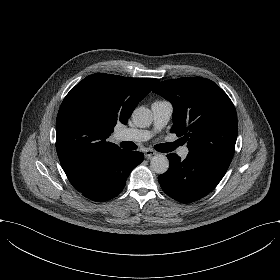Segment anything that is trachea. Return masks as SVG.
<instances>
[{"label": "trachea", "instance_id": "1", "mask_svg": "<svg viewBox=\"0 0 280 280\" xmlns=\"http://www.w3.org/2000/svg\"><path fill=\"white\" fill-rule=\"evenodd\" d=\"M120 146L126 150H135L137 146L133 142H121ZM179 146L178 141L172 143H162L155 146V149L159 152H170Z\"/></svg>", "mask_w": 280, "mask_h": 280}]
</instances>
